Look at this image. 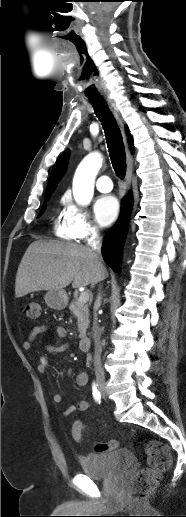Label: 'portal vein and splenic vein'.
<instances>
[{
  "label": "portal vein and splenic vein",
  "instance_id": "18ae733b",
  "mask_svg": "<svg viewBox=\"0 0 186 517\" xmlns=\"http://www.w3.org/2000/svg\"><path fill=\"white\" fill-rule=\"evenodd\" d=\"M89 300V294L88 292H82L80 293V296L78 298L79 303H86Z\"/></svg>",
  "mask_w": 186,
  "mask_h": 517
}]
</instances>
